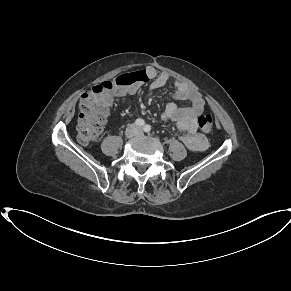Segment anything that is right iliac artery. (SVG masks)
Masks as SVG:
<instances>
[{"instance_id":"obj_1","label":"right iliac artery","mask_w":291,"mask_h":291,"mask_svg":"<svg viewBox=\"0 0 291 291\" xmlns=\"http://www.w3.org/2000/svg\"><path fill=\"white\" fill-rule=\"evenodd\" d=\"M135 124L137 125V126H144V124H145V122H144V120L143 119H137L136 121H135Z\"/></svg>"}]
</instances>
